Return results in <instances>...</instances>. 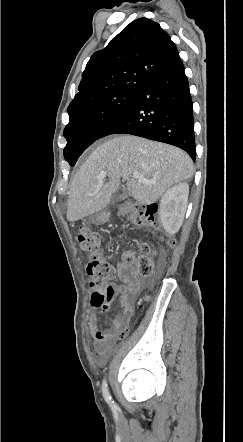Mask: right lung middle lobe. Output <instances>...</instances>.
<instances>
[{"instance_id":"right-lung-middle-lobe-1","label":"right lung middle lobe","mask_w":243,"mask_h":442,"mask_svg":"<svg viewBox=\"0 0 243 442\" xmlns=\"http://www.w3.org/2000/svg\"><path fill=\"white\" fill-rule=\"evenodd\" d=\"M136 91H119L74 109L64 129L65 160L73 166L83 151L99 139L101 131L122 111Z\"/></svg>"}]
</instances>
